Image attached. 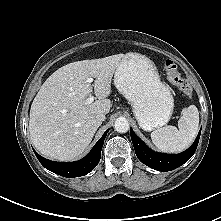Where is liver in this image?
<instances>
[{"instance_id": "liver-1", "label": "liver", "mask_w": 221, "mask_h": 221, "mask_svg": "<svg viewBox=\"0 0 221 221\" xmlns=\"http://www.w3.org/2000/svg\"><path fill=\"white\" fill-rule=\"evenodd\" d=\"M124 54L69 63L56 70L41 86L30 109L29 132L45 157L69 161L80 156L108 114L113 74ZM95 78L93 87L87 79ZM94 93L98 100L86 104Z\"/></svg>"}]
</instances>
